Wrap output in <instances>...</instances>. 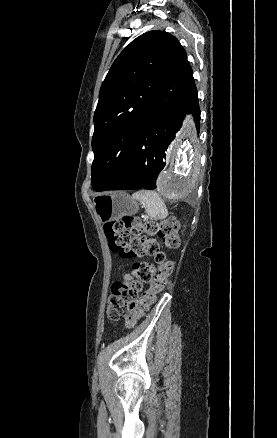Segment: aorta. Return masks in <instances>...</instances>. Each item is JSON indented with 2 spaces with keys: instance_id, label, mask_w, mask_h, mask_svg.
I'll return each mask as SVG.
<instances>
[{
  "instance_id": "762f6f07",
  "label": "aorta",
  "mask_w": 277,
  "mask_h": 438,
  "mask_svg": "<svg viewBox=\"0 0 277 438\" xmlns=\"http://www.w3.org/2000/svg\"><path fill=\"white\" fill-rule=\"evenodd\" d=\"M199 173L195 129L190 121H186L170 147L168 167L158 178V190L169 199L184 198L195 189Z\"/></svg>"
}]
</instances>
